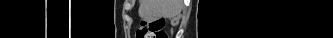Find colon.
I'll return each mask as SVG.
<instances>
[{
	"label": "colon",
	"mask_w": 333,
	"mask_h": 38,
	"mask_svg": "<svg viewBox=\"0 0 333 38\" xmlns=\"http://www.w3.org/2000/svg\"><path fill=\"white\" fill-rule=\"evenodd\" d=\"M165 19L142 20L137 30V38H167L164 31Z\"/></svg>",
	"instance_id": "obj_1"
}]
</instances>
